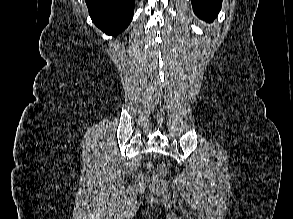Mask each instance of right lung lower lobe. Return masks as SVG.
<instances>
[{"mask_svg": "<svg viewBox=\"0 0 293 219\" xmlns=\"http://www.w3.org/2000/svg\"><path fill=\"white\" fill-rule=\"evenodd\" d=\"M95 25L108 35H117L131 22L134 0H86Z\"/></svg>", "mask_w": 293, "mask_h": 219, "instance_id": "1", "label": "right lung lower lobe"}]
</instances>
